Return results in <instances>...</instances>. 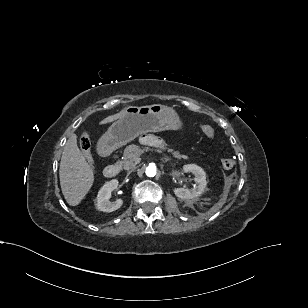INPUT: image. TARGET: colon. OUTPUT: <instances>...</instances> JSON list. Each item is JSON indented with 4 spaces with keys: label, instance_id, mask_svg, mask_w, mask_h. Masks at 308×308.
Instances as JSON below:
<instances>
[{
    "label": "colon",
    "instance_id": "obj_1",
    "mask_svg": "<svg viewBox=\"0 0 308 308\" xmlns=\"http://www.w3.org/2000/svg\"><path fill=\"white\" fill-rule=\"evenodd\" d=\"M201 129H202V132L207 137L215 136V130L210 125H202ZM79 145H80V148L86 160L89 163H92V155L90 152L91 142H90L89 134L87 132H83L81 134ZM234 165H235V161L232 158H223L221 160V166L223 167V169L229 170L233 168Z\"/></svg>",
    "mask_w": 308,
    "mask_h": 308
}]
</instances>
